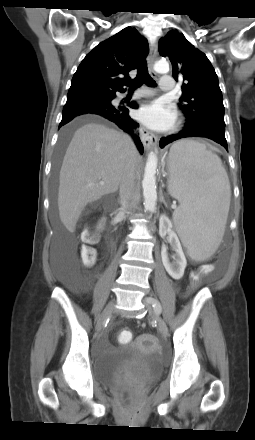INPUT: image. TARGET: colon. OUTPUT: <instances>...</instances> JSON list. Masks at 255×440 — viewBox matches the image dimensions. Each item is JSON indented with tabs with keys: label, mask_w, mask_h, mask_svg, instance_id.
Masks as SVG:
<instances>
[{
	"label": "colon",
	"mask_w": 255,
	"mask_h": 440,
	"mask_svg": "<svg viewBox=\"0 0 255 440\" xmlns=\"http://www.w3.org/2000/svg\"><path fill=\"white\" fill-rule=\"evenodd\" d=\"M85 239L88 241H95L97 234L93 231H88L84 235ZM83 257L87 264H92L95 257V252L91 247H86L83 250ZM132 333L129 330H122L118 334V339L121 343H128L132 340Z\"/></svg>",
	"instance_id": "5ec220e1"
}]
</instances>
